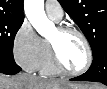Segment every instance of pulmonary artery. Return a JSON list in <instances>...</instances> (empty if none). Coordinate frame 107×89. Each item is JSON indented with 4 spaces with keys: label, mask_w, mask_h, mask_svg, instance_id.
Returning a JSON list of instances; mask_svg holds the SVG:
<instances>
[{
    "label": "pulmonary artery",
    "mask_w": 107,
    "mask_h": 89,
    "mask_svg": "<svg viewBox=\"0 0 107 89\" xmlns=\"http://www.w3.org/2000/svg\"><path fill=\"white\" fill-rule=\"evenodd\" d=\"M45 12L47 16L55 21H60L63 17V9L55 0L45 2Z\"/></svg>",
    "instance_id": "e3ab8cb5"
}]
</instances>
